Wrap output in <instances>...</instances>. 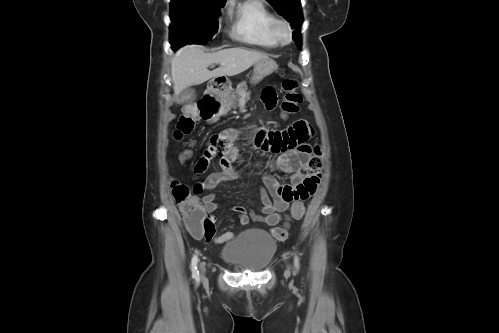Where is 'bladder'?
<instances>
[{"label": "bladder", "mask_w": 499, "mask_h": 333, "mask_svg": "<svg viewBox=\"0 0 499 333\" xmlns=\"http://www.w3.org/2000/svg\"><path fill=\"white\" fill-rule=\"evenodd\" d=\"M276 248V241L269 233L251 228L226 243L220 257L235 270L260 272L270 264Z\"/></svg>", "instance_id": "bladder-1"}]
</instances>
